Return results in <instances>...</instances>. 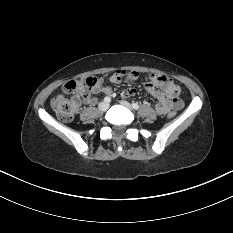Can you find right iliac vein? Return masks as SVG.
Here are the masks:
<instances>
[{
    "label": "right iliac vein",
    "instance_id": "63e3f726",
    "mask_svg": "<svg viewBox=\"0 0 233 233\" xmlns=\"http://www.w3.org/2000/svg\"><path fill=\"white\" fill-rule=\"evenodd\" d=\"M108 108H109V104H108L107 102H101V103L99 104V109H100L101 111H106Z\"/></svg>",
    "mask_w": 233,
    "mask_h": 233
}]
</instances>
